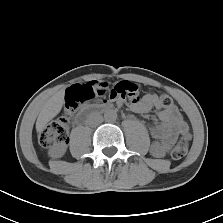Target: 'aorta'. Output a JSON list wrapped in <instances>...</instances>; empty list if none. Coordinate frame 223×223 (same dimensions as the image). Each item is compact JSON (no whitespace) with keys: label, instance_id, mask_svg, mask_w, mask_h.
I'll use <instances>...</instances> for the list:
<instances>
[{"label":"aorta","instance_id":"762f6f07","mask_svg":"<svg viewBox=\"0 0 223 223\" xmlns=\"http://www.w3.org/2000/svg\"><path fill=\"white\" fill-rule=\"evenodd\" d=\"M104 119L107 122H115L117 119V113L115 110L109 109L104 113Z\"/></svg>","mask_w":223,"mask_h":223}]
</instances>
